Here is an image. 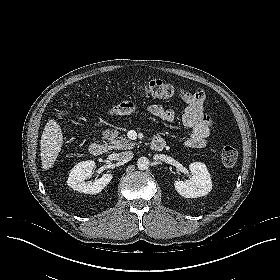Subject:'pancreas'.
<instances>
[{
    "label": "pancreas",
    "instance_id": "pancreas-1",
    "mask_svg": "<svg viewBox=\"0 0 280 280\" xmlns=\"http://www.w3.org/2000/svg\"><path fill=\"white\" fill-rule=\"evenodd\" d=\"M104 138L109 141V149H132L136 145V143L127 139L125 136H118L117 131H105Z\"/></svg>",
    "mask_w": 280,
    "mask_h": 280
}]
</instances>
